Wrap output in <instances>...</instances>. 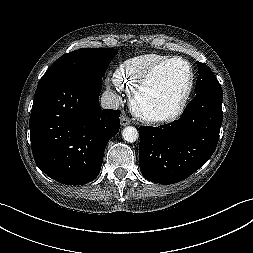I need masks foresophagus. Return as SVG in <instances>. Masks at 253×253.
<instances>
[{
    "mask_svg": "<svg viewBox=\"0 0 253 253\" xmlns=\"http://www.w3.org/2000/svg\"><path fill=\"white\" fill-rule=\"evenodd\" d=\"M120 124L121 126H127L130 124V119L126 115L122 114L120 116Z\"/></svg>",
    "mask_w": 253,
    "mask_h": 253,
    "instance_id": "obj_1",
    "label": "esophagus"
}]
</instances>
